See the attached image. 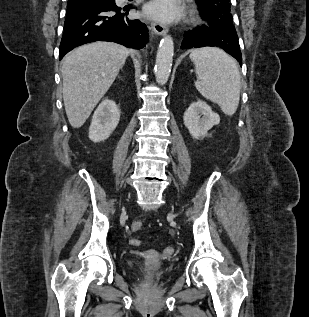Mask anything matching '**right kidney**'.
<instances>
[{
  "instance_id": "ca27d5eb",
  "label": "right kidney",
  "mask_w": 309,
  "mask_h": 317,
  "mask_svg": "<svg viewBox=\"0 0 309 317\" xmlns=\"http://www.w3.org/2000/svg\"><path fill=\"white\" fill-rule=\"evenodd\" d=\"M120 110L113 100L104 99L95 110L89 127V138L93 142L106 140L116 129Z\"/></svg>"
}]
</instances>
